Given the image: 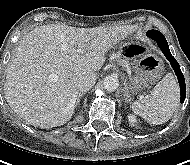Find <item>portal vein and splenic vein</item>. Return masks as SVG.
I'll list each match as a JSON object with an SVG mask.
<instances>
[{"mask_svg":"<svg viewBox=\"0 0 190 165\" xmlns=\"http://www.w3.org/2000/svg\"><path fill=\"white\" fill-rule=\"evenodd\" d=\"M76 52H78V53H84V50L83 49H77Z\"/></svg>","mask_w":190,"mask_h":165,"instance_id":"obj_1","label":"portal vein and splenic vein"}]
</instances>
